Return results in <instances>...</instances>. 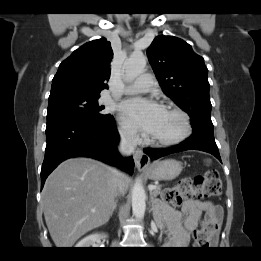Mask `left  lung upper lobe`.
I'll return each instance as SVG.
<instances>
[{
    "label": "left lung upper lobe",
    "mask_w": 261,
    "mask_h": 261,
    "mask_svg": "<svg viewBox=\"0 0 261 261\" xmlns=\"http://www.w3.org/2000/svg\"><path fill=\"white\" fill-rule=\"evenodd\" d=\"M147 56L163 92L188 113L192 128H213L203 57L182 39L164 35L153 40Z\"/></svg>",
    "instance_id": "obj_1"
}]
</instances>
